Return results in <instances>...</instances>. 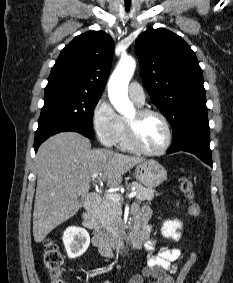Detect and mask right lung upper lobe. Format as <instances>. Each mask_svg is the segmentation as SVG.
Listing matches in <instances>:
<instances>
[{"mask_svg":"<svg viewBox=\"0 0 233 283\" xmlns=\"http://www.w3.org/2000/svg\"><path fill=\"white\" fill-rule=\"evenodd\" d=\"M114 41L103 31H89L66 45L51 69L47 86L102 94L109 76Z\"/></svg>","mask_w":233,"mask_h":283,"instance_id":"cb5924a9","label":"right lung upper lobe"}]
</instances>
